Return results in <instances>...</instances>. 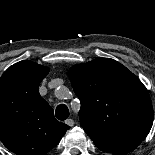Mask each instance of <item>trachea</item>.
<instances>
[{"label": "trachea", "instance_id": "obj_1", "mask_svg": "<svg viewBox=\"0 0 155 155\" xmlns=\"http://www.w3.org/2000/svg\"><path fill=\"white\" fill-rule=\"evenodd\" d=\"M55 116L58 120H66L69 117V109L65 104H60L56 108Z\"/></svg>", "mask_w": 155, "mask_h": 155}]
</instances>
